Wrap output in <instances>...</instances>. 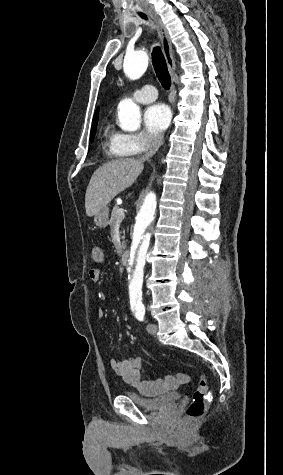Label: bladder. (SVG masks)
Wrapping results in <instances>:
<instances>
[{
	"label": "bladder",
	"instance_id": "bladder-1",
	"mask_svg": "<svg viewBox=\"0 0 283 475\" xmlns=\"http://www.w3.org/2000/svg\"><path fill=\"white\" fill-rule=\"evenodd\" d=\"M125 397L129 398L136 406L152 412L169 406H177L180 402L178 396L163 394L158 397L143 398L138 392L131 390L125 391Z\"/></svg>",
	"mask_w": 283,
	"mask_h": 475
}]
</instances>
